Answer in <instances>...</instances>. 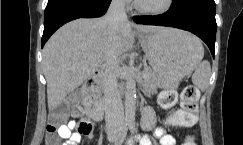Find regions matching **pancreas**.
Listing matches in <instances>:
<instances>
[{"label":"pancreas","instance_id":"cf45deb5","mask_svg":"<svg viewBox=\"0 0 243 145\" xmlns=\"http://www.w3.org/2000/svg\"><path fill=\"white\" fill-rule=\"evenodd\" d=\"M143 76H144L145 86L148 89H153L156 87L158 78L155 72L151 70H145L143 71Z\"/></svg>","mask_w":243,"mask_h":145}]
</instances>
